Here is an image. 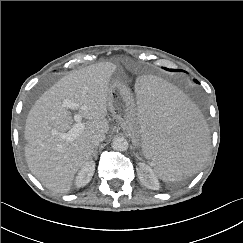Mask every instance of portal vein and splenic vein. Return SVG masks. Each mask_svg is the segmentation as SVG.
<instances>
[{
  "mask_svg": "<svg viewBox=\"0 0 243 243\" xmlns=\"http://www.w3.org/2000/svg\"><path fill=\"white\" fill-rule=\"evenodd\" d=\"M63 106L67 107L71 110H75L78 108V104L75 102H72L69 99L64 100ZM82 116L80 114L74 115V121L76 122L72 128L66 132V133H60L59 136L62 139H66L68 141H73L77 136H79L83 130L85 129V125L81 122Z\"/></svg>",
  "mask_w": 243,
  "mask_h": 243,
  "instance_id": "obj_1",
  "label": "portal vein and splenic vein"
}]
</instances>
